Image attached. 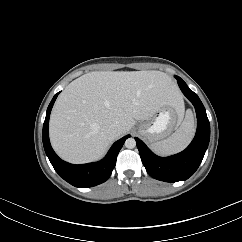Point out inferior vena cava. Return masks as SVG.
Instances as JSON below:
<instances>
[{
	"mask_svg": "<svg viewBox=\"0 0 242 242\" xmlns=\"http://www.w3.org/2000/svg\"><path fill=\"white\" fill-rule=\"evenodd\" d=\"M121 131L122 127L117 123H113L109 126V132L114 136L120 135Z\"/></svg>",
	"mask_w": 242,
	"mask_h": 242,
	"instance_id": "inferior-vena-cava-1",
	"label": "inferior vena cava"
}]
</instances>
